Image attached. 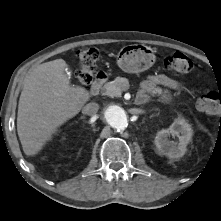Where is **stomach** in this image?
I'll list each match as a JSON object with an SVG mask.
<instances>
[{"mask_svg":"<svg viewBox=\"0 0 221 221\" xmlns=\"http://www.w3.org/2000/svg\"><path fill=\"white\" fill-rule=\"evenodd\" d=\"M155 61L150 47L143 45L124 46L117 55V65L126 73H140L149 69Z\"/></svg>","mask_w":221,"mask_h":221,"instance_id":"obj_1","label":"stomach"}]
</instances>
